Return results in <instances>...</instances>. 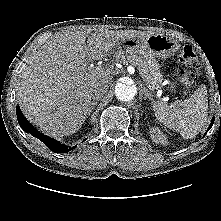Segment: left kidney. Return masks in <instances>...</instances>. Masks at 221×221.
<instances>
[{
  "instance_id": "5707ae66",
  "label": "left kidney",
  "mask_w": 221,
  "mask_h": 221,
  "mask_svg": "<svg viewBox=\"0 0 221 221\" xmlns=\"http://www.w3.org/2000/svg\"><path fill=\"white\" fill-rule=\"evenodd\" d=\"M150 133L153 142L161 143L163 145H166L168 143L166 136L163 135V133L158 128H152Z\"/></svg>"
}]
</instances>
